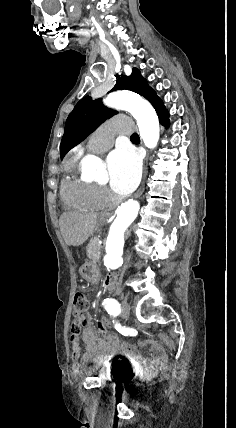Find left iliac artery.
Returning <instances> with one entry per match:
<instances>
[{
    "instance_id": "obj_1",
    "label": "left iliac artery",
    "mask_w": 236,
    "mask_h": 428,
    "mask_svg": "<svg viewBox=\"0 0 236 428\" xmlns=\"http://www.w3.org/2000/svg\"><path fill=\"white\" fill-rule=\"evenodd\" d=\"M102 305H104V308L108 311V310L114 309L120 304L115 299L107 298V299H104V302L102 303Z\"/></svg>"
}]
</instances>
